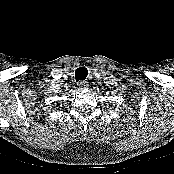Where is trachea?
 Segmentation results:
<instances>
[{
  "label": "trachea",
  "instance_id": "trachea-1",
  "mask_svg": "<svg viewBox=\"0 0 174 174\" xmlns=\"http://www.w3.org/2000/svg\"><path fill=\"white\" fill-rule=\"evenodd\" d=\"M88 75V70L85 67H79L75 71L76 82L84 81Z\"/></svg>",
  "mask_w": 174,
  "mask_h": 174
}]
</instances>
